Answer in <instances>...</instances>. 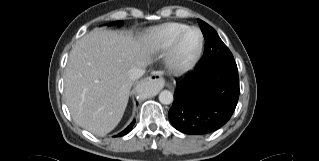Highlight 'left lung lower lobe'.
I'll list each match as a JSON object with an SVG mask.
<instances>
[{"mask_svg":"<svg viewBox=\"0 0 319 161\" xmlns=\"http://www.w3.org/2000/svg\"><path fill=\"white\" fill-rule=\"evenodd\" d=\"M239 93L237 69L196 68L177 81L169 120L177 130L189 135L216 131L232 116Z\"/></svg>","mask_w":319,"mask_h":161,"instance_id":"1","label":"left lung lower lobe"}]
</instances>
